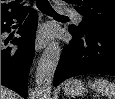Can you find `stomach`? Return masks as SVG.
Instances as JSON below:
<instances>
[{"mask_svg": "<svg viewBox=\"0 0 115 99\" xmlns=\"http://www.w3.org/2000/svg\"><path fill=\"white\" fill-rule=\"evenodd\" d=\"M84 91V85L79 80L69 81L65 85V92L71 96H77Z\"/></svg>", "mask_w": 115, "mask_h": 99, "instance_id": "0dacf381", "label": "stomach"}]
</instances>
